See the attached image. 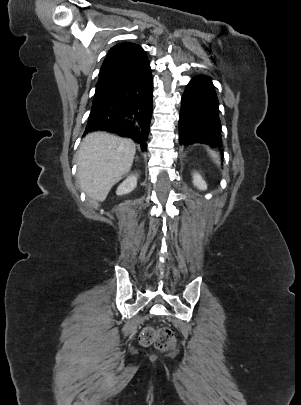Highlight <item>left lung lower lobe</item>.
I'll list each match as a JSON object with an SVG mask.
<instances>
[{
    "label": "left lung lower lobe",
    "instance_id": "1",
    "mask_svg": "<svg viewBox=\"0 0 301 405\" xmlns=\"http://www.w3.org/2000/svg\"><path fill=\"white\" fill-rule=\"evenodd\" d=\"M179 137L183 146L199 143L213 149L222 147L219 103L207 76L194 77L186 87L179 117Z\"/></svg>",
    "mask_w": 301,
    "mask_h": 405
}]
</instances>
